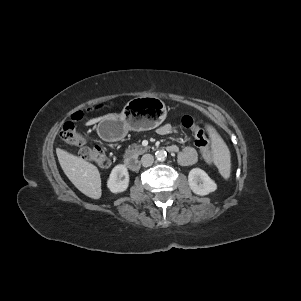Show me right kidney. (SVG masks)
<instances>
[{
    "label": "right kidney",
    "mask_w": 301,
    "mask_h": 301,
    "mask_svg": "<svg viewBox=\"0 0 301 301\" xmlns=\"http://www.w3.org/2000/svg\"><path fill=\"white\" fill-rule=\"evenodd\" d=\"M129 186V173L125 165H116L108 178L107 187L112 193L124 192Z\"/></svg>",
    "instance_id": "right-kidney-1"
}]
</instances>
